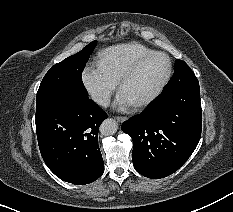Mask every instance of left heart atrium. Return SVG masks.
<instances>
[{
  "mask_svg": "<svg viewBox=\"0 0 233 212\" xmlns=\"http://www.w3.org/2000/svg\"><path fill=\"white\" fill-rule=\"evenodd\" d=\"M116 106L120 108H125L127 106L132 105V102L129 100V98L121 91L116 99L115 102Z\"/></svg>",
  "mask_w": 233,
  "mask_h": 212,
  "instance_id": "1",
  "label": "left heart atrium"
}]
</instances>
